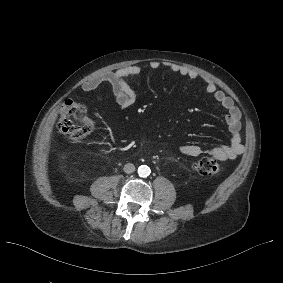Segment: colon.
Masks as SVG:
<instances>
[{"instance_id":"1","label":"colon","mask_w":283,"mask_h":283,"mask_svg":"<svg viewBox=\"0 0 283 283\" xmlns=\"http://www.w3.org/2000/svg\"><path fill=\"white\" fill-rule=\"evenodd\" d=\"M57 126L70 140L79 141L90 134L93 123L81 104L67 100L62 106ZM191 167L204 176H215L224 170L222 164L211 157H201L195 160Z\"/></svg>"}]
</instances>
